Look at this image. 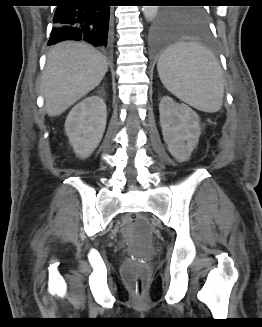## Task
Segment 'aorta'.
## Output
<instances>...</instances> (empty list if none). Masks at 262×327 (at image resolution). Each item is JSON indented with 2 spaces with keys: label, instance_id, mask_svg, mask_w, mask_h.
<instances>
[{
  "label": "aorta",
  "instance_id": "1",
  "mask_svg": "<svg viewBox=\"0 0 262 327\" xmlns=\"http://www.w3.org/2000/svg\"><path fill=\"white\" fill-rule=\"evenodd\" d=\"M142 11H143L145 18L149 21H152L157 16L158 7L157 6H143Z\"/></svg>",
  "mask_w": 262,
  "mask_h": 327
}]
</instances>
